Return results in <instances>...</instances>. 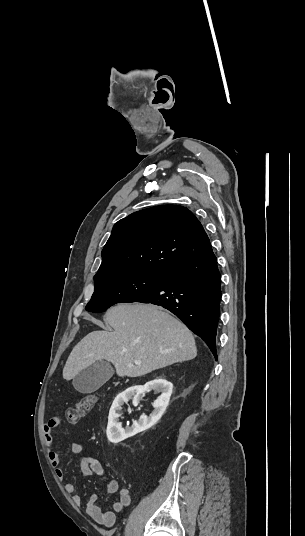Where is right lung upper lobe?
Masks as SVG:
<instances>
[{
  "instance_id": "cb5924a9",
  "label": "right lung upper lobe",
  "mask_w": 305,
  "mask_h": 536,
  "mask_svg": "<svg viewBox=\"0 0 305 536\" xmlns=\"http://www.w3.org/2000/svg\"><path fill=\"white\" fill-rule=\"evenodd\" d=\"M210 252L209 238L190 210L178 205L156 206L114 225L94 280L131 272L169 273Z\"/></svg>"
}]
</instances>
